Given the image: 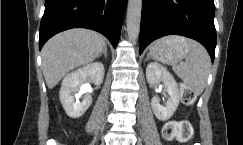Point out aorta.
Wrapping results in <instances>:
<instances>
[{
    "label": "aorta",
    "mask_w": 243,
    "mask_h": 145,
    "mask_svg": "<svg viewBox=\"0 0 243 145\" xmlns=\"http://www.w3.org/2000/svg\"><path fill=\"white\" fill-rule=\"evenodd\" d=\"M142 0H129L127 8V33L129 40L136 42L140 31Z\"/></svg>",
    "instance_id": "762f6f07"
}]
</instances>
